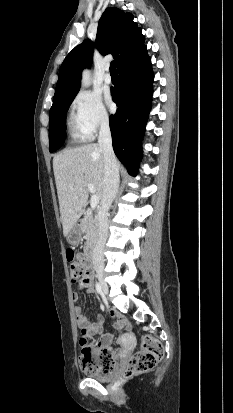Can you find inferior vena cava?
<instances>
[{
    "instance_id": "1",
    "label": "inferior vena cava",
    "mask_w": 233,
    "mask_h": 413,
    "mask_svg": "<svg viewBox=\"0 0 233 413\" xmlns=\"http://www.w3.org/2000/svg\"><path fill=\"white\" fill-rule=\"evenodd\" d=\"M98 143L104 155V187L101 208L98 214L99 237L93 250V266L98 274L104 269V247L108 238V211L119 187V170L112 148V137L108 118L101 121Z\"/></svg>"
}]
</instances>
